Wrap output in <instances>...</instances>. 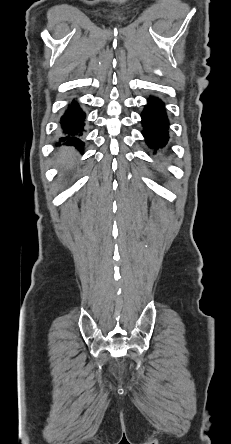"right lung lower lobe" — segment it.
<instances>
[{
	"label": "right lung lower lobe",
	"instance_id": "obj_1",
	"mask_svg": "<svg viewBox=\"0 0 231 444\" xmlns=\"http://www.w3.org/2000/svg\"><path fill=\"white\" fill-rule=\"evenodd\" d=\"M85 117L86 114L76 101H73L60 119L61 129L64 134V137L60 140L65 141L67 145H73L82 150L84 143L81 140V135L83 134Z\"/></svg>",
	"mask_w": 231,
	"mask_h": 444
}]
</instances>
